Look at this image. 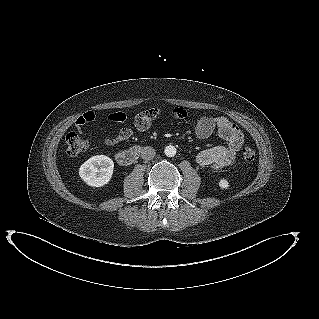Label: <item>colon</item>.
Returning <instances> with one entry per match:
<instances>
[{"label":"colon","instance_id":"colon-1","mask_svg":"<svg viewBox=\"0 0 319 319\" xmlns=\"http://www.w3.org/2000/svg\"><path fill=\"white\" fill-rule=\"evenodd\" d=\"M113 121H124L125 116L122 113H115L110 116ZM66 154L69 157H75L89 148V142L83 139L75 132L68 133L65 137ZM255 151L250 147H244L242 150V156L245 161L251 162L255 159Z\"/></svg>","mask_w":319,"mask_h":319}]
</instances>
